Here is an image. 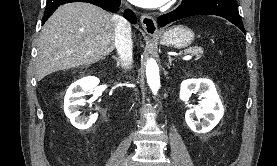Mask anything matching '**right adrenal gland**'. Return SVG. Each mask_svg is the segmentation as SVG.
<instances>
[{
    "mask_svg": "<svg viewBox=\"0 0 277 166\" xmlns=\"http://www.w3.org/2000/svg\"><path fill=\"white\" fill-rule=\"evenodd\" d=\"M113 58L116 61L117 66H120V60H119V58H117L116 56H113Z\"/></svg>",
    "mask_w": 277,
    "mask_h": 166,
    "instance_id": "obj_1",
    "label": "right adrenal gland"
}]
</instances>
